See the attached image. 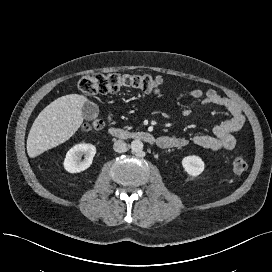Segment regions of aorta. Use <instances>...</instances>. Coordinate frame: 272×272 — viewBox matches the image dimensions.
I'll use <instances>...</instances> for the list:
<instances>
[{
	"instance_id": "aorta-1",
	"label": "aorta",
	"mask_w": 272,
	"mask_h": 272,
	"mask_svg": "<svg viewBox=\"0 0 272 272\" xmlns=\"http://www.w3.org/2000/svg\"><path fill=\"white\" fill-rule=\"evenodd\" d=\"M131 150L134 153H140L143 150V143L139 139H135L131 142Z\"/></svg>"
}]
</instances>
